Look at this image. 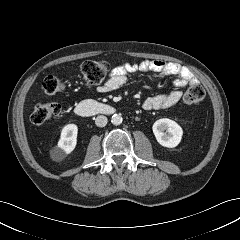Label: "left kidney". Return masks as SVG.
I'll list each match as a JSON object with an SVG mask.
<instances>
[{"label":"left kidney","instance_id":"1","mask_svg":"<svg viewBox=\"0 0 240 240\" xmlns=\"http://www.w3.org/2000/svg\"><path fill=\"white\" fill-rule=\"evenodd\" d=\"M157 142L168 148L176 147L183 135V130L175 121L162 118L157 120L152 127Z\"/></svg>","mask_w":240,"mask_h":240}]
</instances>
